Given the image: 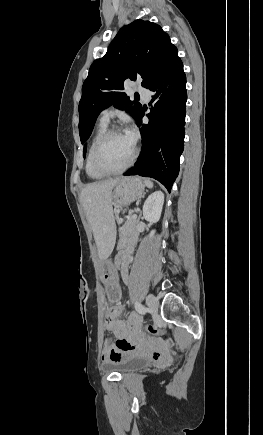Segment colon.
<instances>
[{
	"mask_svg": "<svg viewBox=\"0 0 263 435\" xmlns=\"http://www.w3.org/2000/svg\"><path fill=\"white\" fill-rule=\"evenodd\" d=\"M144 327L145 328L143 330L145 332L148 331L149 334H154V335H156V334H162L163 335L165 333L163 330L161 331L154 324L153 325L152 324H146ZM117 341H120L118 339V336H117ZM141 341H143V339ZM156 341H164V340L161 338V339H156ZM102 348H103V350H112L113 343L110 340V338H108V337L103 338V340H102Z\"/></svg>",
	"mask_w": 263,
	"mask_h": 435,
	"instance_id": "colon-1",
	"label": "colon"
}]
</instances>
